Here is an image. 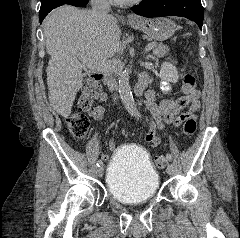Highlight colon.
Wrapping results in <instances>:
<instances>
[{"label":"colon","mask_w":240,"mask_h":238,"mask_svg":"<svg viewBox=\"0 0 240 238\" xmlns=\"http://www.w3.org/2000/svg\"><path fill=\"white\" fill-rule=\"evenodd\" d=\"M101 75L99 73L92 74L86 79L79 98V106L82 110L93 108L101 94ZM196 79L194 75L186 73L183 76V92L186 95L191 94L195 90ZM66 124L70 133L77 138H82L86 135L89 128V118L83 112H75L69 115L66 119ZM196 131V120L193 117L187 118L183 123V134L192 136ZM157 168L162 169L166 166L167 160L161 155L155 159Z\"/></svg>","instance_id":"5ec220e1"}]
</instances>
